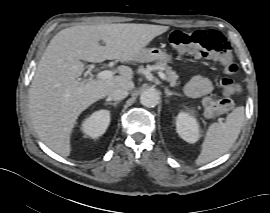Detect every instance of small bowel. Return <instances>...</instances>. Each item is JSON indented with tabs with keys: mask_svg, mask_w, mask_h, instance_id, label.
<instances>
[{
	"mask_svg": "<svg viewBox=\"0 0 270 213\" xmlns=\"http://www.w3.org/2000/svg\"><path fill=\"white\" fill-rule=\"evenodd\" d=\"M212 89L211 82L203 76L193 77L185 86V93L193 98L208 94Z\"/></svg>",
	"mask_w": 270,
	"mask_h": 213,
	"instance_id": "1",
	"label": "small bowel"
}]
</instances>
